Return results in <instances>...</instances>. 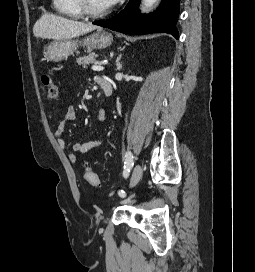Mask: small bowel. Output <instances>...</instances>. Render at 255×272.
<instances>
[{
	"mask_svg": "<svg viewBox=\"0 0 255 272\" xmlns=\"http://www.w3.org/2000/svg\"><path fill=\"white\" fill-rule=\"evenodd\" d=\"M98 76L95 77L96 81L98 80ZM77 117L76 109L73 106H69L67 111L59 122L56 130L54 131V136L58 141L60 147L65 148L66 142L62 139V134L65 131L66 127L73 123ZM98 119L100 121H104L106 119V113L103 109L98 111ZM103 143V138L100 135H97L94 139L88 141L76 142L71 145V151L68 154V159L75 163L78 160V156L87 153L90 150L98 148Z\"/></svg>",
	"mask_w": 255,
	"mask_h": 272,
	"instance_id": "small-bowel-1",
	"label": "small bowel"
}]
</instances>
